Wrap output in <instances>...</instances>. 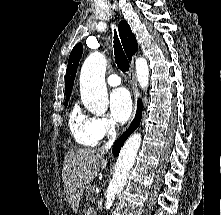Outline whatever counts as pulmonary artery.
Listing matches in <instances>:
<instances>
[{"instance_id":"e3ab8cb5","label":"pulmonary artery","mask_w":221,"mask_h":215,"mask_svg":"<svg viewBox=\"0 0 221 215\" xmlns=\"http://www.w3.org/2000/svg\"><path fill=\"white\" fill-rule=\"evenodd\" d=\"M107 83L110 86H118L121 84V79L117 74H111L107 77Z\"/></svg>"}]
</instances>
